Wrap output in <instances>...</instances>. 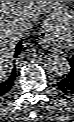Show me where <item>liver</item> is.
Masks as SVG:
<instances>
[{"label": "liver", "mask_w": 74, "mask_h": 122, "mask_svg": "<svg viewBox=\"0 0 74 122\" xmlns=\"http://www.w3.org/2000/svg\"><path fill=\"white\" fill-rule=\"evenodd\" d=\"M63 1H0V74L5 76L13 58L14 49L31 29L41 14L43 7L50 5L53 9ZM30 21L31 26L23 31L21 26Z\"/></svg>", "instance_id": "liver-1"}]
</instances>
